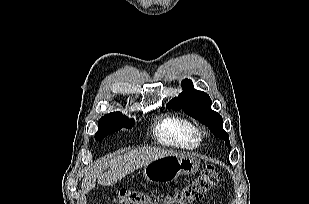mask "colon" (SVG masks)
Here are the masks:
<instances>
[{"instance_id": "colon-1", "label": "colon", "mask_w": 309, "mask_h": 204, "mask_svg": "<svg viewBox=\"0 0 309 204\" xmlns=\"http://www.w3.org/2000/svg\"><path fill=\"white\" fill-rule=\"evenodd\" d=\"M221 174L213 166H208L199 176L186 186L177 189L165 198L167 204H190L200 198L221 180ZM117 204H157L159 199L152 193L136 189H117Z\"/></svg>"}]
</instances>
